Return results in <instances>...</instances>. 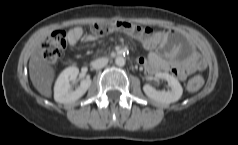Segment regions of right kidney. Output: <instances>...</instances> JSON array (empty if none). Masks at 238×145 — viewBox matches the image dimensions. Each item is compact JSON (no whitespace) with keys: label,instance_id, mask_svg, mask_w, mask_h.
I'll return each mask as SVG.
<instances>
[{"label":"right kidney","instance_id":"obj_1","mask_svg":"<svg viewBox=\"0 0 238 145\" xmlns=\"http://www.w3.org/2000/svg\"><path fill=\"white\" fill-rule=\"evenodd\" d=\"M79 69L75 66L68 67L58 76L54 86V99L61 104H69L81 98L91 86V79H83L80 86L73 91L70 82L75 81Z\"/></svg>","mask_w":238,"mask_h":145}]
</instances>
